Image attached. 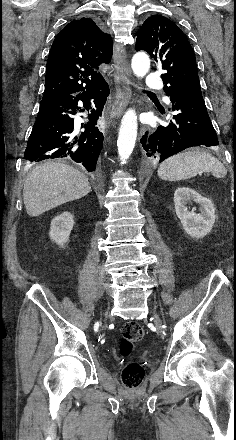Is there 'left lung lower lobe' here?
Masks as SVG:
<instances>
[{"label": "left lung lower lobe", "instance_id": "1", "mask_svg": "<svg viewBox=\"0 0 236 440\" xmlns=\"http://www.w3.org/2000/svg\"><path fill=\"white\" fill-rule=\"evenodd\" d=\"M169 96L172 111L175 112L171 123L149 130L141 137L140 142L147 157L162 162L189 147L219 145L200 85H185Z\"/></svg>", "mask_w": 236, "mask_h": 440}]
</instances>
